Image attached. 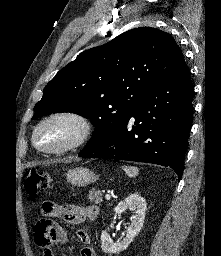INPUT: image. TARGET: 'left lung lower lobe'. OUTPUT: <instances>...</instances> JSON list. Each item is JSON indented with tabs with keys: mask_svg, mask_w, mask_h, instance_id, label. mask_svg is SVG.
Here are the masks:
<instances>
[{
	"mask_svg": "<svg viewBox=\"0 0 221 256\" xmlns=\"http://www.w3.org/2000/svg\"><path fill=\"white\" fill-rule=\"evenodd\" d=\"M194 88L187 65L154 87L116 127L108 129L79 157L154 163L180 178L193 119ZM135 119L134 126L128 127Z\"/></svg>",
	"mask_w": 221,
	"mask_h": 256,
	"instance_id": "1",
	"label": "left lung lower lobe"
}]
</instances>
